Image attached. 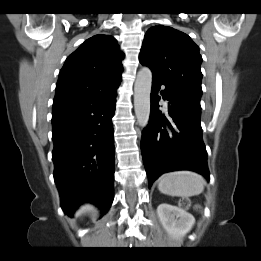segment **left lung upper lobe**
Listing matches in <instances>:
<instances>
[{
  "instance_id": "5c2ea615",
  "label": "left lung upper lobe",
  "mask_w": 261,
  "mask_h": 261,
  "mask_svg": "<svg viewBox=\"0 0 261 261\" xmlns=\"http://www.w3.org/2000/svg\"><path fill=\"white\" fill-rule=\"evenodd\" d=\"M139 60L152 70L154 79L201 98L202 57L187 34L163 25L150 28Z\"/></svg>"
}]
</instances>
